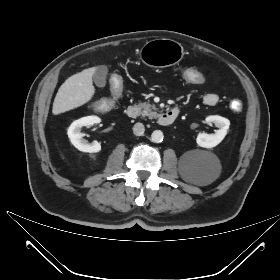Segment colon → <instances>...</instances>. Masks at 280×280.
I'll return each mask as SVG.
<instances>
[{"label":"colon","mask_w":280,"mask_h":280,"mask_svg":"<svg viewBox=\"0 0 280 280\" xmlns=\"http://www.w3.org/2000/svg\"><path fill=\"white\" fill-rule=\"evenodd\" d=\"M178 76L183 82L198 87L204 86L207 81L206 75L202 70L193 67H188V66L181 67L178 71ZM122 82L123 79L118 74H115L111 77L110 88L114 96L113 99L119 97L121 92ZM113 99L101 100L97 102L95 105V109L98 112L108 111L110 109V106L114 103ZM230 107L233 111L239 112L242 110V103L239 100H234L231 102Z\"/></svg>","instance_id":"obj_1"}]
</instances>
